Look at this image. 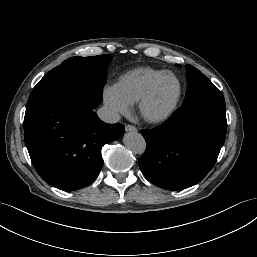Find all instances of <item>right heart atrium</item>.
Returning <instances> with one entry per match:
<instances>
[{"label": "right heart atrium", "mask_w": 257, "mask_h": 257, "mask_svg": "<svg viewBox=\"0 0 257 257\" xmlns=\"http://www.w3.org/2000/svg\"><path fill=\"white\" fill-rule=\"evenodd\" d=\"M103 99L106 108L113 116L126 115L130 111V104L117 93L114 87L104 89Z\"/></svg>", "instance_id": "obj_1"}]
</instances>
